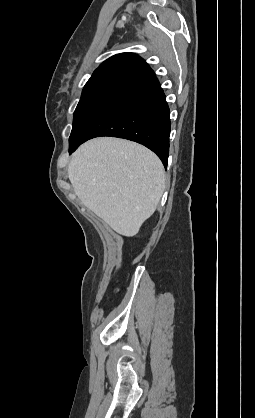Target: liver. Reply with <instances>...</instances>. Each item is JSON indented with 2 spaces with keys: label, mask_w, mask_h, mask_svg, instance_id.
<instances>
[{
  "label": "liver",
  "mask_w": 255,
  "mask_h": 418,
  "mask_svg": "<svg viewBox=\"0 0 255 418\" xmlns=\"http://www.w3.org/2000/svg\"><path fill=\"white\" fill-rule=\"evenodd\" d=\"M68 177L81 202L117 233L132 237L156 210L165 170L146 147L123 139H92L73 154Z\"/></svg>",
  "instance_id": "1"
}]
</instances>
